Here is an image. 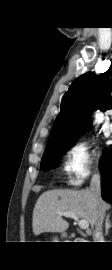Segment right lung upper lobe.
Wrapping results in <instances>:
<instances>
[{
  "instance_id": "cb5924a9",
  "label": "right lung upper lobe",
  "mask_w": 112,
  "mask_h": 270,
  "mask_svg": "<svg viewBox=\"0 0 112 270\" xmlns=\"http://www.w3.org/2000/svg\"><path fill=\"white\" fill-rule=\"evenodd\" d=\"M112 60L107 72L96 76L88 72L79 76L62 98L47 145L72 141L81 130L91 128L94 107L112 109Z\"/></svg>"
}]
</instances>
